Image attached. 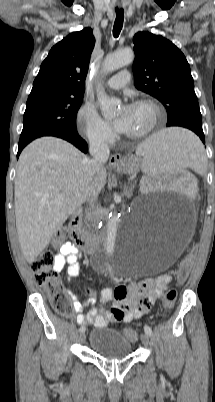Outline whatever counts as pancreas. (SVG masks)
Segmentation results:
<instances>
[{"label": "pancreas", "mask_w": 215, "mask_h": 402, "mask_svg": "<svg viewBox=\"0 0 215 402\" xmlns=\"http://www.w3.org/2000/svg\"><path fill=\"white\" fill-rule=\"evenodd\" d=\"M78 230H79V233H80L82 236H85V235L88 234V231L86 230V227L83 226V224H80V225H79Z\"/></svg>", "instance_id": "1"}]
</instances>
